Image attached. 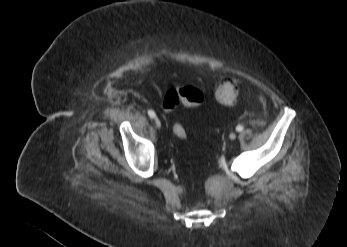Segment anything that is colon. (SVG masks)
<instances>
[{
  "mask_svg": "<svg viewBox=\"0 0 347 247\" xmlns=\"http://www.w3.org/2000/svg\"><path fill=\"white\" fill-rule=\"evenodd\" d=\"M237 97V86L231 80L220 81L215 88L214 94L205 97V95L196 87L187 85L180 88L171 89L167 92L163 101V108L167 112H173L179 106L185 105L195 107L203 104L205 101H211L225 106L234 104ZM172 131L179 140L187 139L185 127L179 123L172 124Z\"/></svg>",
  "mask_w": 347,
  "mask_h": 247,
  "instance_id": "1",
  "label": "colon"
}]
</instances>
